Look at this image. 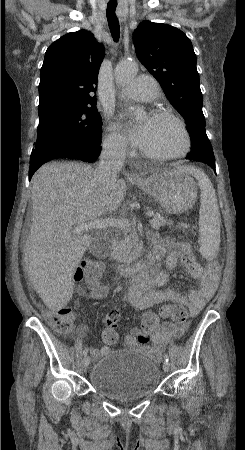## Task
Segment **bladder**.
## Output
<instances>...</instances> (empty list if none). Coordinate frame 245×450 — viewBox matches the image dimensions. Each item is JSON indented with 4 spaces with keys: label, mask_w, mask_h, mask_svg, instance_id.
<instances>
[{
    "label": "bladder",
    "mask_w": 245,
    "mask_h": 450,
    "mask_svg": "<svg viewBox=\"0 0 245 450\" xmlns=\"http://www.w3.org/2000/svg\"><path fill=\"white\" fill-rule=\"evenodd\" d=\"M160 379L159 366L146 355L116 349L93 363L89 384L107 398L128 401L154 392Z\"/></svg>",
    "instance_id": "1"
}]
</instances>
